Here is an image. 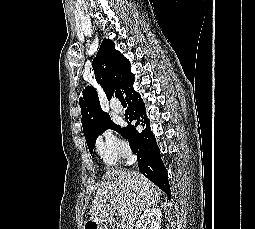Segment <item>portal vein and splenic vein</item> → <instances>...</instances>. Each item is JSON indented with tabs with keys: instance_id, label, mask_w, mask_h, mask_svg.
I'll use <instances>...</instances> for the list:
<instances>
[{
	"instance_id": "1",
	"label": "portal vein and splenic vein",
	"mask_w": 255,
	"mask_h": 229,
	"mask_svg": "<svg viewBox=\"0 0 255 229\" xmlns=\"http://www.w3.org/2000/svg\"><path fill=\"white\" fill-rule=\"evenodd\" d=\"M117 212H118V215H119V216H122L123 213H124L123 210H120V209H119Z\"/></svg>"
}]
</instances>
